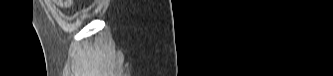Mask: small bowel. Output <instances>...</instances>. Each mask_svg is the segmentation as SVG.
<instances>
[{"label":"small bowel","mask_w":333,"mask_h":76,"mask_svg":"<svg viewBox=\"0 0 333 76\" xmlns=\"http://www.w3.org/2000/svg\"><path fill=\"white\" fill-rule=\"evenodd\" d=\"M55 10H64L74 6L73 0H51L49 1Z\"/></svg>","instance_id":"c3829d8e"}]
</instances>
